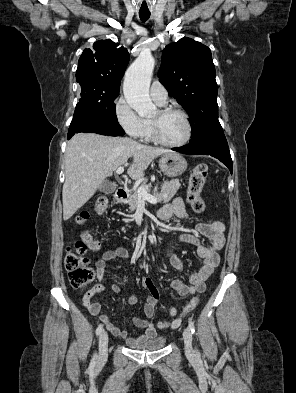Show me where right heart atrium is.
I'll return each instance as SVG.
<instances>
[{
  "label": "right heart atrium",
  "mask_w": 296,
  "mask_h": 393,
  "mask_svg": "<svg viewBox=\"0 0 296 393\" xmlns=\"http://www.w3.org/2000/svg\"><path fill=\"white\" fill-rule=\"evenodd\" d=\"M116 120L124 131L135 139L144 138L146 123L132 108L125 97H119L114 105Z\"/></svg>",
  "instance_id": "obj_1"
}]
</instances>
